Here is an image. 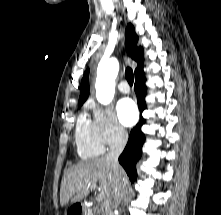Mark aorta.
<instances>
[{"instance_id":"obj_1","label":"aorta","mask_w":221,"mask_h":215,"mask_svg":"<svg viewBox=\"0 0 221 215\" xmlns=\"http://www.w3.org/2000/svg\"><path fill=\"white\" fill-rule=\"evenodd\" d=\"M118 71L119 62L114 57L102 59L98 64L95 89L99 103L107 105L113 100Z\"/></svg>"}]
</instances>
